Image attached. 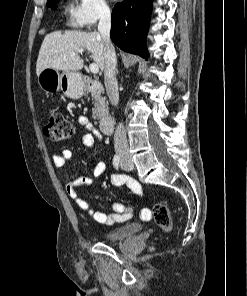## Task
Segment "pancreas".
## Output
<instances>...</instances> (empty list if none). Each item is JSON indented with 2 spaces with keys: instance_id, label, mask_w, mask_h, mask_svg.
Returning <instances> with one entry per match:
<instances>
[{
  "instance_id": "1",
  "label": "pancreas",
  "mask_w": 247,
  "mask_h": 296,
  "mask_svg": "<svg viewBox=\"0 0 247 296\" xmlns=\"http://www.w3.org/2000/svg\"><path fill=\"white\" fill-rule=\"evenodd\" d=\"M92 100L94 106L92 109L93 119H101L103 116L108 114V105L104 97L95 93L92 95Z\"/></svg>"
}]
</instances>
